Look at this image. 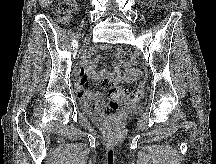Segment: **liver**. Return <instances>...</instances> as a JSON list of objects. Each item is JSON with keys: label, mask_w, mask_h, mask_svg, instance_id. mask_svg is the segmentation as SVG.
I'll use <instances>...</instances> for the list:
<instances>
[{"label": "liver", "mask_w": 216, "mask_h": 164, "mask_svg": "<svg viewBox=\"0 0 216 164\" xmlns=\"http://www.w3.org/2000/svg\"><path fill=\"white\" fill-rule=\"evenodd\" d=\"M54 0H39L40 6L46 8L53 3Z\"/></svg>", "instance_id": "6515ba94"}]
</instances>
